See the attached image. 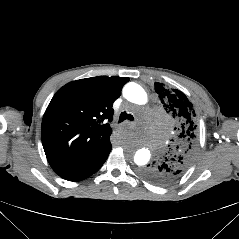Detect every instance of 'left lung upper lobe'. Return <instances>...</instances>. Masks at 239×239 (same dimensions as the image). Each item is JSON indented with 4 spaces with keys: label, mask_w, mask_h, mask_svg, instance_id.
Segmentation results:
<instances>
[{
    "label": "left lung upper lobe",
    "mask_w": 239,
    "mask_h": 239,
    "mask_svg": "<svg viewBox=\"0 0 239 239\" xmlns=\"http://www.w3.org/2000/svg\"><path fill=\"white\" fill-rule=\"evenodd\" d=\"M155 91L177 126V137L172 140L168 153L153 165L149 164L142 176L155 184L166 185L180 179L194 159L198 142L197 117L192 103L180 90L156 82Z\"/></svg>",
    "instance_id": "5c2ea615"
}]
</instances>
